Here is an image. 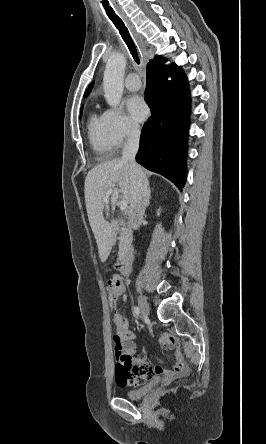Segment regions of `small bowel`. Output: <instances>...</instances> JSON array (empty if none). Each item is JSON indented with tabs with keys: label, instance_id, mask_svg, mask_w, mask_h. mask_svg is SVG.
<instances>
[{
	"label": "small bowel",
	"instance_id": "small-bowel-1",
	"mask_svg": "<svg viewBox=\"0 0 266 444\" xmlns=\"http://www.w3.org/2000/svg\"><path fill=\"white\" fill-rule=\"evenodd\" d=\"M110 280L121 283L119 296L122 295L126 300L120 277L114 275ZM113 322L116 326V334L113 337L116 358L115 378L120 387H138L146 381L160 376L164 381L169 382L188 373V367L179 351L175 353L173 366L170 369H165L161 364H153L148 358H136L135 335L128 320L121 312L117 311L113 314ZM160 343L166 349H173L176 345L175 340L168 335L162 336Z\"/></svg>",
	"mask_w": 266,
	"mask_h": 444
}]
</instances>
